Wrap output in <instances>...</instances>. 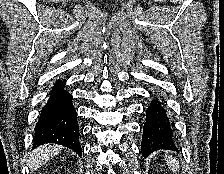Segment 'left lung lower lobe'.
I'll return each mask as SVG.
<instances>
[{
	"instance_id": "1",
	"label": "left lung lower lobe",
	"mask_w": 224,
	"mask_h": 174,
	"mask_svg": "<svg viewBox=\"0 0 224 174\" xmlns=\"http://www.w3.org/2000/svg\"><path fill=\"white\" fill-rule=\"evenodd\" d=\"M145 116L141 143L143 155L146 157L160 149L177 151L167 111L157 97L149 104Z\"/></svg>"
}]
</instances>
